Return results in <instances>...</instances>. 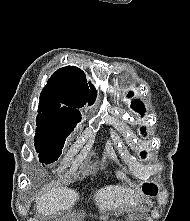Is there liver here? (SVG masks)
<instances>
[{
    "label": "liver",
    "instance_id": "obj_1",
    "mask_svg": "<svg viewBox=\"0 0 190 221\" xmlns=\"http://www.w3.org/2000/svg\"><path fill=\"white\" fill-rule=\"evenodd\" d=\"M137 194L120 186H107L94 194V201L99 210H122L124 207L133 206ZM79 200V193L69 188H56L42 194L36 200L37 211L44 216L56 215L59 212L69 210Z\"/></svg>",
    "mask_w": 190,
    "mask_h": 221
}]
</instances>
